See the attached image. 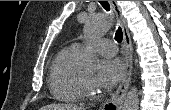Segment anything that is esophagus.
<instances>
[{
  "instance_id": "obj_1",
  "label": "esophagus",
  "mask_w": 171,
  "mask_h": 110,
  "mask_svg": "<svg viewBox=\"0 0 171 110\" xmlns=\"http://www.w3.org/2000/svg\"><path fill=\"white\" fill-rule=\"evenodd\" d=\"M115 14L117 20L123 31V43L125 49V72L122 77V80L116 89V91L112 94L111 98L102 105V110H120L126 94L128 92L131 77H132V43L129 30L127 28L126 20L121 13V9L116 1H109Z\"/></svg>"
}]
</instances>
